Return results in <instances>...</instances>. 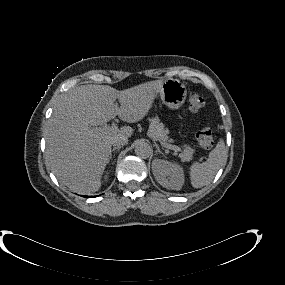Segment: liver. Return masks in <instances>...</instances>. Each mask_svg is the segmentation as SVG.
Segmentation results:
<instances>
[{
    "mask_svg": "<svg viewBox=\"0 0 285 285\" xmlns=\"http://www.w3.org/2000/svg\"><path fill=\"white\" fill-rule=\"evenodd\" d=\"M163 82L149 81L122 91L89 84L64 94L48 121L45 150L46 161L60 183L79 194L98 191L113 139L128 138L133 130L124 127L107 132L93 127L116 116L129 123L142 120Z\"/></svg>",
    "mask_w": 285,
    "mask_h": 285,
    "instance_id": "1",
    "label": "liver"
}]
</instances>
